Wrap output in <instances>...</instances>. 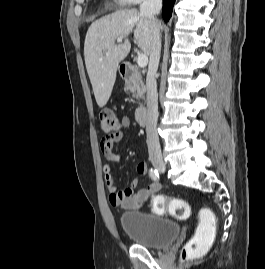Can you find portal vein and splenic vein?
Returning a JSON list of instances; mask_svg holds the SVG:
<instances>
[{
	"label": "portal vein and splenic vein",
	"instance_id": "18ae733b",
	"mask_svg": "<svg viewBox=\"0 0 265 269\" xmlns=\"http://www.w3.org/2000/svg\"><path fill=\"white\" fill-rule=\"evenodd\" d=\"M122 40H123V38L120 37L117 39V42L121 43ZM137 64L141 68L146 67L148 64V56L146 54H138Z\"/></svg>",
	"mask_w": 265,
	"mask_h": 269
}]
</instances>
